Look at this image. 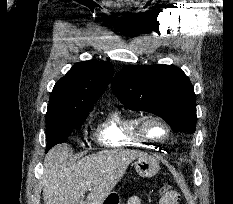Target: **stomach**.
<instances>
[{
    "instance_id": "obj_1",
    "label": "stomach",
    "mask_w": 233,
    "mask_h": 204,
    "mask_svg": "<svg viewBox=\"0 0 233 204\" xmlns=\"http://www.w3.org/2000/svg\"><path fill=\"white\" fill-rule=\"evenodd\" d=\"M134 165L136 172L139 174V176L145 178L153 177L159 171L158 161L154 157H151L149 155H143L138 157ZM117 196L119 195L117 194Z\"/></svg>"
}]
</instances>
